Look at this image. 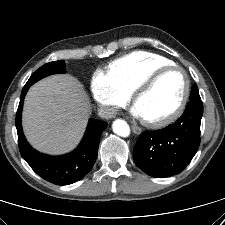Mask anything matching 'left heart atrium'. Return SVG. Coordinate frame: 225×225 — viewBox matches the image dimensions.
<instances>
[{
    "label": "left heart atrium",
    "instance_id": "left-heart-atrium-1",
    "mask_svg": "<svg viewBox=\"0 0 225 225\" xmlns=\"http://www.w3.org/2000/svg\"><path fill=\"white\" fill-rule=\"evenodd\" d=\"M131 113L135 116V117H141L139 111L137 110V108L134 106L131 110Z\"/></svg>",
    "mask_w": 225,
    "mask_h": 225
}]
</instances>
